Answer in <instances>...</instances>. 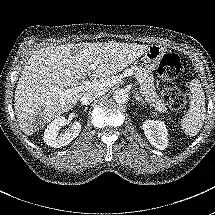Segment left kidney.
Returning a JSON list of instances; mask_svg holds the SVG:
<instances>
[{"label":"left kidney","mask_w":215,"mask_h":215,"mask_svg":"<svg viewBox=\"0 0 215 215\" xmlns=\"http://www.w3.org/2000/svg\"><path fill=\"white\" fill-rule=\"evenodd\" d=\"M142 128L147 140L155 149L162 151L166 148V129L160 121H146Z\"/></svg>","instance_id":"obj_1"}]
</instances>
